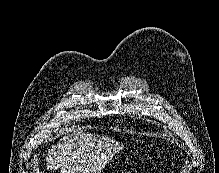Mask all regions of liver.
I'll list each match as a JSON object with an SVG mask.
<instances>
[{
	"label": "liver",
	"mask_w": 219,
	"mask_h": 173,
	"mask_svg": "<svg viewBox=\"0 0 219 173\" xmlns=\"http://www.w3.org/2000/svg\"><path fill=\"white\" fill-rule=\"evenodd\" d=\"M123 145L114 140L77 131L67 133L53 145L45 158L48 170L61 173H101Z\"/></svg>",
	"instance_id": "liver-1"
}]
</instances>
